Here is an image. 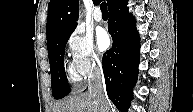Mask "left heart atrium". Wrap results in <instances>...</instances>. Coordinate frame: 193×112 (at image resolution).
Returning <instances> with one entry per match:
<instances>
[{
    "label": "left heart atrium",
    "instance_id": "39dd6f15",
    "mask_svg": "<svg viewBox=\"0 0 193 112\" xmlns=\"http://www.w3.org/2000/svg\"><path fill=\"white\" fill-rule=\"evenodd\" d=\"M96 41H97L98 49L100 51H105L110 45V37L108 33L104 30H100L97 33Z\"/></svg>",
    "mask_w": 193,
    "mask_h": 112
}]
</instances>
